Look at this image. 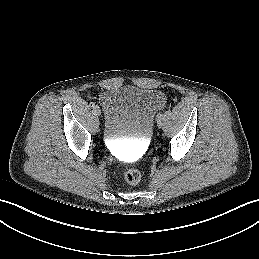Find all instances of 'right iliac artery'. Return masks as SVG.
I'll return each mask as SVG.
<instances>
[{
	"label": "right iliac artery",
	"mask_w": 259,
	"mask_h": 259,
	"mask_svg": "<svg viewBox=\"0 0 259 259\" xmlns=\"http://www.w3.org/2000/svg\"><path fill=\"white\" fill-rule=\"evenodd\" d=\"M90 107H95V104L94 103H90Z\"/></svg>",
	"instance_id": "right-iliac-artery-1"
}]
</instances>
